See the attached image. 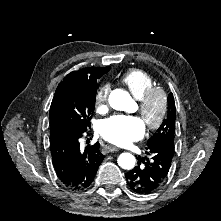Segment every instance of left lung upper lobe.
I'll return each instance as SVG.
<instances>
[{
  "instance_id": "1",
  "label": "left lung upper lobe",
  "mask_w": 221,
  "mask_h": 221,
  "mask_svg": "<svg viewBox=\"0 0 221 221\" xmlns=\"http://www.w3.org/2000/svg\"><path fill=\"white\" fill-rule=\"evenodd\" d=\"M168 104L167 118L163 121L157 132L148 140V147H154L162 143H167L174 147L176 113L175 101L172 93L168 96Z\"/></svg>"
}]
</instances>
